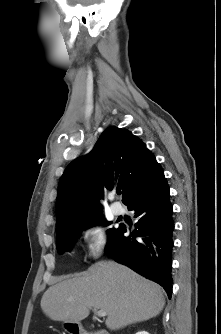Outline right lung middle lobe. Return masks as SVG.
Masks as SVG:
<instances>
[{"instance_id":"right-lung-middle-lobe-1","label":"right lung middle lobe","mask_w":221,"mask_h":334,"mask_svg":"<svg viewBox=\"0 0 221 334\" xmlns=\"http://www.w3.org/2000/svg\"><path fill=\"white\" fill-rule=\"evenodd\" d=\"M101 222H103V219L101 216H98L85 223L72 225L66 228L61 234L56 236V246H57V250L59 254H62L64 252H69L71 250L75 240L80 235L82 230L87 229L95 224H99ZM120 228L121 226L118 229L111 228L107 231V234H108L107 247L113 242Z\"/></svg>"}]
</instances>
